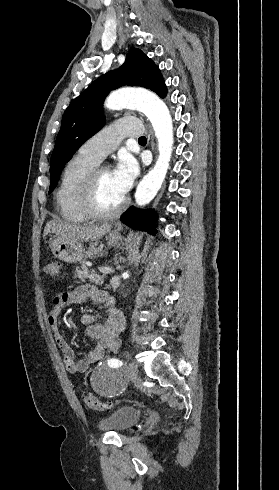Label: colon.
<instances>
[{
	"label": "colon",
	"instance_id": "obj_1",
	"mask_svg": "<svg viewBox=\"0 0 279 490\" xmlns=\"http://www.w3.org/2000/svg\"><path fill=\"white\" fill-rule=\"evenodd\" d=\"M60 267H61L60 262L57 259H55L47 262L44 265L43 272L46 276L59 278ZM82 400L89 409L94 411H105L110 408V406L104 400H100L90 392H83Z\"/></svg>",
	"mask_w": 279,
	"mask_h": 490
}]
</instances>
